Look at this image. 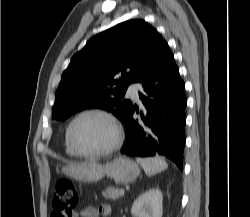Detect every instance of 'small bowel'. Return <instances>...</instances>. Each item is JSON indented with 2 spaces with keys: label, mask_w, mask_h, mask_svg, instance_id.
Returning a JSON list of instances; mask_svg holds the SVG:
<instances>
[{
  "label": "small bowel",
  "mask_w": 250,
  "mask_h": 217,
  "mask_svg": "<svg viewBox=\"0 0 250 217\" xmlns=\"http://www.w3.org/2000/svg\"><path fill=\"white\" fill-rule=\"evenodd\" d=\"M111 207L108 204H101L98 207L87 206L80 209L73 217H106L110 215Z\"/></svg>",
  "instance_id": "1"
}]
</instances>
